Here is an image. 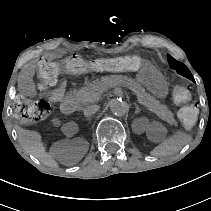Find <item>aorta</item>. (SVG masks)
I'll use <instances>...</instances> for the list:
<instances>
[{
  "mask_svg": "<svg viewBox=\"0 0 211 211\" xmlns=\"http://www.w3.org/2000/svg\"><path fill=\"white\" fill-rule=\"evenodd\" d=\"M111 112L117 116H124L128 110V104L121 99H112L110 102Z\"/></svg>",
  "mask_w": 211,
  "mask_h": 211,
  "instance_id": "aorta-1",
  "label": "aorta"
}]
</instances>
